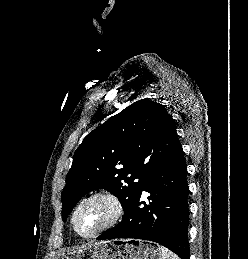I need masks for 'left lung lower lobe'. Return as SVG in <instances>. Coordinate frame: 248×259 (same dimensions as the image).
<instances>
[{
	"label": "left lung lower lobe",
	"mask_w": 248,
	"mask_h": 259,
	"mask_svg": "<svg viewBox=\"0 0 248 259\" xmlns=\"http://www.w3.org/2000/svg\"><path fill=\"white\" fill-rule=\"evenodd\" d=\"M187 168L182 147L177 148L147 179L122 221L98 240L135 238L163 245L182 259H189ZM149 202L140 201L141 192Z\"/></svg>",
	"instance_id": "obj_1"
}]
</instances>
